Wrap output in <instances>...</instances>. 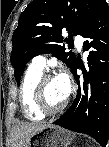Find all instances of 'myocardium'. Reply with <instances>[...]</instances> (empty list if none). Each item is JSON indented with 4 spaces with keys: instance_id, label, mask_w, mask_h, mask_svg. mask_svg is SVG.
<instances>
[{
    "instance_id": "1",
    "label": "myocardium",
    "mask_w": 109,
    "mask_h": 147,
    "mask_svg": "<svg viewBox=\"0 0 109 147\" xmlns=\"http://www.w3.org/2000/svg\"><path fill=\"white\" fill-rule=\"evenodd\" d=\"M56 78L54 74H44L40 77L39 81L36 84L34 95H33V105L35 108L43 113L44 115H56L62 112L67 104H68V97L57 107H50L45 98V85L46 83Z\"/></svg>"
}]
</instances>
